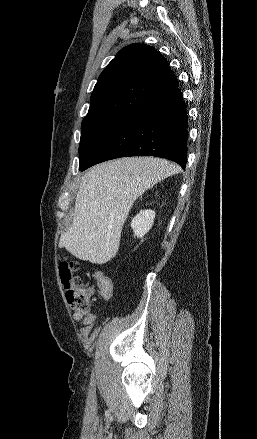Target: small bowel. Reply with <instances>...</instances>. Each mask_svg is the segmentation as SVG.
<instances>
[{
	"label": "small bowel",
	"instance_id": "small-bowel-1",
	"mask_svg": "<svg viewBox=\"0 0 257 439\" xmlns=\"http://www.w3.org/2000/svg\"><path fill=\"white\" fill-rule=\"evenodd\" d=\"M91 296H92V293L89 294V299ZM74 319L76 321L80 322L84 326L82 328V334L84 336H88L90 331H91V327H92L93 323L96 321L97 317L93 313H90V314H87L84 316L78 312H75Z\"/></svg>",
	"mask_w": 257,
	"mask_h": 439
}]
</instances>
